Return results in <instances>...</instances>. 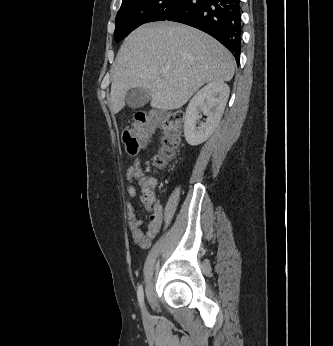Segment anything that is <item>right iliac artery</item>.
<instances>
[{
    "instance_id": "obj_1",
    "label": "right iliac artery",
    "mask_w": 333,
    "mask_h": 346,
    "mask_svg": "<svg viewBox=\"0 0 333 346\" xmlns=\"http://www.w3.org/2000/svg\"><path fill=\"white\" fill-rule=\"evenodd\" d=\"M137 297H138V301H139L140 307L143 308V306H144V292H143L142 285H140L138 287Z\"/></svg>"
}]
</instances>
